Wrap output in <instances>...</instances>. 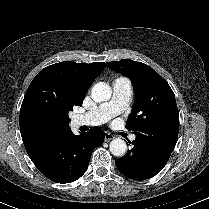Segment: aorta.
Here are the masks:
<instances>
[{
    "label": "aorta",
    "instance_id": "1",
    "mask_svg": "<svg viewBox=\"0 0 209 209\" xmlns=\"http://www.w3.org/2000/svg\"><path fill=\"white\" fill-rule=\"evenodd\" d=\"M112 95L111 87L106 83H98L92 88L91 97L95 102H105ZM110 152L117 157H122L127 152L126 142L122 139H114L109 145Z\"/></svg>",
    "mask_w": 209,
    "mask_h": 209
}]
</instances>
